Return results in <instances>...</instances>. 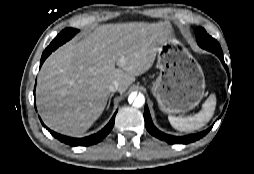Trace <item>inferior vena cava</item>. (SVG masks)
Returning <instances> with one entry per match:
<instances>
[{
  "label": "inferior vena cava",
  "mask_w": 254,
  "mask_h": 174,
  "mask_svg": "<svg viewBox=\"0 0 254 174\" xmlns=\"http://www.w3.org/2000/svg\"><path fill=\"white\" fill-rule=\"evenodd\" d=\"M119 86H120V84H119L118 81H116V80L112 81V83L109 85L110 92L118 91L119 90Z\"/></svg>",
  "instance_id": "inferior-vena-cava-1"
}]
</instances>
